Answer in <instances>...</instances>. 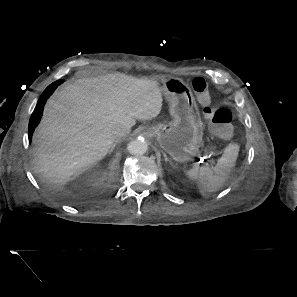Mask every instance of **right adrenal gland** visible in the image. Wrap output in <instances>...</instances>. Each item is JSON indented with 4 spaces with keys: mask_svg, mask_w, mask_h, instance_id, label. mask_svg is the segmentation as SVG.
<instances>
[{
    "mask_svg": "<svg viewBox=\"0 0 297 297\" xmlns=\"http://www.w3.org/2000/svg\"><path fill=\"white\" fill-rule=\"evenodd\" d=\"M113 149H114V145L112 146V148L110 149V151H109V152L111 153V152L113 151Z\"/></svg>",
    "mask_w": 297,
    "mask_h": 297,
    "instance_id": "obj_1",
    "label": "right adrenal gland"
}]
</instances>
